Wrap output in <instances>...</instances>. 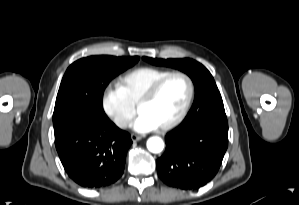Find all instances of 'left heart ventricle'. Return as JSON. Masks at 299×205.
Returning <instances> with one entry per match:
<instances>
[{"instance_id":"1","label":"left heart ventricle","mask_w":299,"mask_h":205,"mask_svg":"<svg viewBox=\"0 0 299 205\" xmlns=\"http://www.w3.org/2000/svg\"><path fill=\"white\" fill-rule=\"evenodd\" d=\"M188 96L187 82L181 77L170 78L151 102L140 108L158 127L174 119L183 108Z\"/></svg>"}]
</instances>
